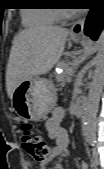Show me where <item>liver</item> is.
<instances>
[{
    "label": "liver",
    "instance_id": "6515ba94",
    "mask_svg": "<svg viewBox=\"0 0 104 169\" xmlns=\"http://www.w3.org/2000/svg\"><path fill=\"white\" fill-rule=\"evenodd\" d=\"M69 30L58 26L30 27L19 32L6 69V90L11 98L24 80L48 73L60 60Z\"/></svg>",
    "mask_w": 104,
    "mask_h": 169
}]
</instances>
